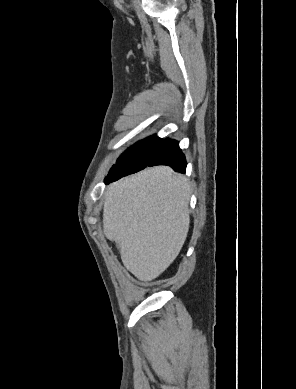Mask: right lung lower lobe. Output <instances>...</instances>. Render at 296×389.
Here are the masks:
<instances>
[{
    "mask_svg": "<svg viewBox=\"0 0 296 389\" xmlns=\"http://www.w3.org/2000/svg\"><path fill=\"white\" fill-rule=\"evenodd\" d=\"M168 165L176 172L184 173L186 170V159L179 148L178 141L171 139L162 140L147 156L145 165L138 168H126L112 170L105 178V183L116 181L123 176L138 172L147 166Z\"/></svg>",
    "mask_w": 296,
    "mask_h": 389,
    "instance_id": "98d812e1",
    "label": "right lung lower lobe"
}]
</instances>
